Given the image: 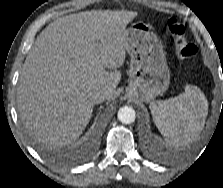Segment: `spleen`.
Here are the masks:
<instances>
[{
	"label": "spleen",
	"mask_w": 223,
	"mask_h": 188,
	"mask_svg": "<svg viewBox=\"0 0 223 188\" xmlns=\"http://www.w3.org/2000/svg\"><path fill=\"white\" fill-rule=\"evenodd\" d=\"M176 97L154 101L150 110L166 141L177 146L190 143L203 129L208 112L204 93L193 85Z\"/></svg>",
	"instance_id": "obj_1"
}]
</instances>
